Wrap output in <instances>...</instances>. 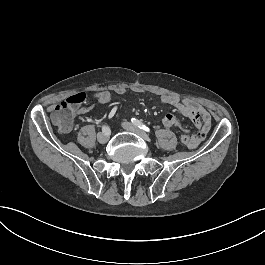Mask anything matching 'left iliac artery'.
<instances>
[{
    "instance_id": "1",
    "label": "left iliac artery",
    "mask_w": 265,
    "mask_h": 265,
    "mask_svg": "<svg viewBox=\"0 0 265 265\" xmlns=\"http://www.w3.org/2000/svg\"><path fill=\"white\" fill-rule=\"evenodd\" d=\"M131 121L134 125H136L140 129L146 132H151L150 128H148L145 124H143L141 121L137 120L136 118H131Z\"/></svg>"
}]
</instances>
